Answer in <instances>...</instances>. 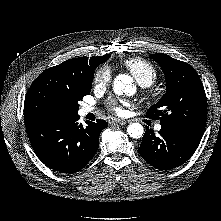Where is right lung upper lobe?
Segmentation results:
<instances>
[{
  "label": "right lung upper lobe",
  "mask_w": 221,
  "mask_h": 221,
  "mask_svg": "<svg viewBox=\"0 0 221 221\" xmlns=\"http://www.w3.org/2000/svg\"><path fill=\"white\" fill-rule=\"evenodd\" d=\"M105 56L107 55L90 58H73L49 69L70 78L84 80L95 70L98 62Z\"/></svg>",
  "instance_id": "right-lung-upper-lobe-1"
}]
</instances>
